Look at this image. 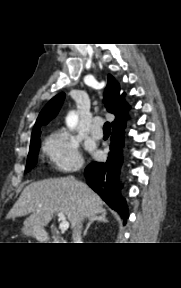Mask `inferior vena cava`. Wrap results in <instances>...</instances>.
<instances>
[{
	"instance_id": "1",
	"label": "inferior vena cava",
	"mask_w": 181,
	"mask_h": 288,
	"mask_svg": "<svg viewBox=\"0 0 181 288\" xmlns=\"http://www.w3.org/2000/svg\"><path fill=\"white\" fill-rule=\"evenodd\" d=\"M81 228V226H80ZM73 243H82L81 230L77 229L72 234Z\"/></svg>"
}]
</instances>
